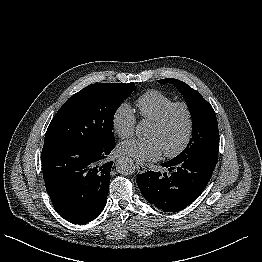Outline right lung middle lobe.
I'll return each instance as SVG.
<instances>
[{
  "label": "right lung middle lobe",
  "instance_id": "dd1d6c3e",
  "mask_svg": "<svg viewBox=\"0 0 262 262\" xmlns=\"http://www.w3.org/2000/svg\"><path fill=\"white\" fill-rule=\"evenodd\" d=\"M135 88L134 83H99L83 88L53 117L44 144L105 145L115 142L114 114Z\"/></svg>",
  "mask_w": 262,
  "mask_h": 262
}]
</instances>
